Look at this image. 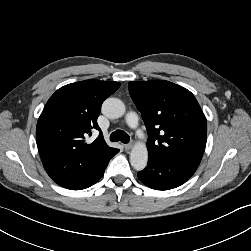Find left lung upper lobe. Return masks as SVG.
I'll return each mask as SVG.
<instances>
[{
	"label": "left lung upper lobe",
	"instance_id": "1",
	"mask_svg": "<svg viewBox=\"0 0 251 251\" xmlns=\"http://www.w3.org/2000/svg\"><path fill=\"white\" fill-rule=\"evenodd\" d=\"M129 93L148 132L149 157L199 166L207 121L194 95L169 81H131Z\"/></svg>",
	"mask_w": 251,
	"mask_h": 251
}]
</instances>
